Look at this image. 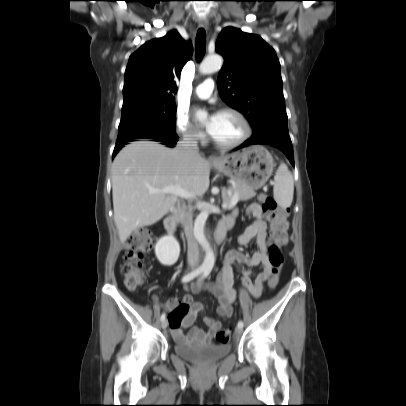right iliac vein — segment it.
I'll use <instances>...</instances> for the list:
<instances>
[{
    "instance_id": "right-iliac-vein-1",
    "label": "right iliac vein",
    "mask_w": 406,
    "mask_h": 406,
    "mask_svg": "<svg viewBox=\"0 0 406 406\" xmlns=\"http://www.w3.org/2000/svg\"><path fill=\"white\" fill-rule=\"evenodd\" d=\"M161 326H162L163 329H166L167 326H168V321H167V320H164V321L162 322Z\"/></svg>"
}]
</instances>
